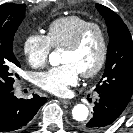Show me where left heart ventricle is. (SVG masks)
I'll use <instances>...</instances> for the list:
<instances>
[{"mask_svg": "<svg viewBox=\"0 0 133 133\" xmlns=\"http://www.w3.org/2000/svg\"><path fill=\"white\" fill-rule=\"evenodd\" d=\"M101 39L98 32L94 29L90 30L80 47L76 50H63L62 63L73 64L79 73L92 69L100 56Z\"/></svg>", "mask_w": 133, "mask_h": 133, "instance_id": "b2bd125f", "label": "left heart ventricle"}]
</instances>
